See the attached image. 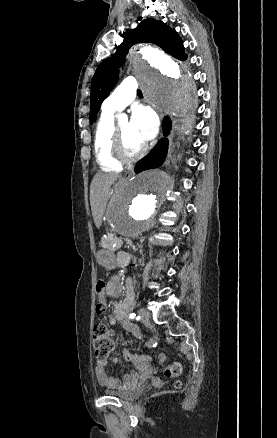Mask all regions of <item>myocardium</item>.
<instances>
[{"label":"myocardium","mask_w":277,"mask_h":438,"mask_svg":"<svg viewBox=\"0 0 277 438\" xmlns=\"http://www.w3.org/2000/svg\"><path fill=\"white\" fill-rule=\"evenodd\" d=\"M110 147L114 158L121 164H129L137 161L144 151H141L137 155L131 156L127 153L124 145L123 137L119 130V125L115 126L111 132Z\"/></svg>","instance_id":"1"}]
</instances>
